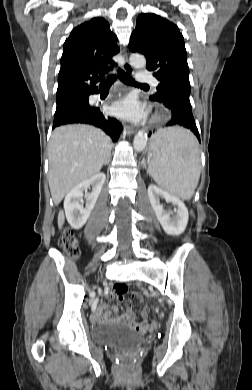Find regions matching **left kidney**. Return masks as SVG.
Segmentation results:
<instances>
[{
  "instance_id": "1",
  "label": "left kidney",
  "mask_w": 252,
  "mask_h": 390,
  "mask_svg": "<svg viewBox=\"0 0 252 390\" xmlns=\"http://www.w3.org/2000/svg\"><path fill=\"white\" fill-rule=\"evenodd\" d=\"M148 196L151 206L164 231L169 235H180L184 232L188 223V210L184 203L175 195L162 190L156 185L148 187ZM172 203L174 211L165 210L160 200ZM173 213H175L173 215ZM172 215V216H171Z\"/></svg>"
}]
</instances>
